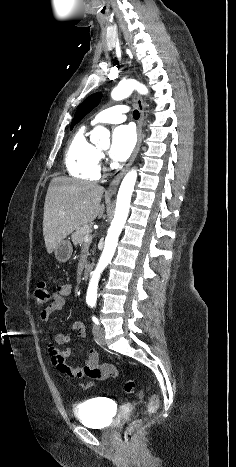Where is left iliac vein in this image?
<instances>
[{
    "label": "left iliac vein",
    "mask_w": 236,
    "mask_h": 467,
    "mask_svg": "<svg viewBox=\"0 0 236 467\" xmlns=\"http://www.w3.org/2000/svg\"><path fill=\"white\" fill-rule=\"evenodd\" d=\"M93 335L98 343L105 344V332L100 326H93Z\"/></svg>",
    "instance_id": "4c4485c4"
}]
</instances>
